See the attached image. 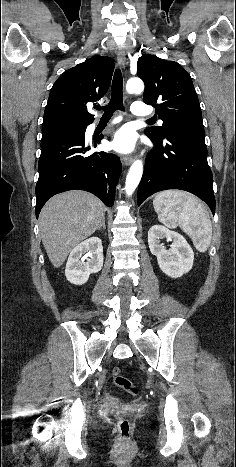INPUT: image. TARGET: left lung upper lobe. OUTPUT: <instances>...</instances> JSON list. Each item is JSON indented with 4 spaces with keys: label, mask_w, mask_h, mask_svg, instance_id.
Wrapping results in <instances>:
<instances>
[{
    "label": "left lung upper lobe",
    "mask_w": 236,
    "mask_h": 467,
    "mask_svg": "<svg viewBox=\"0 0 236 467\" xmlns=\"http://www.w3.org/2000/svg\"><path fill=\"white\" fill-rule=\"evenodd\" d=\"M137 75L145 83L143 100L155 106L163 120L161 127L145 130L153 139H163L166 132L177 128H203L201 108L190 75L181 65L150 54L137 63Z\"/></svg>",
    "instance_id": "1"
}]
</instances>
